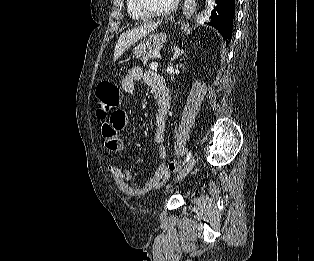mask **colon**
<instances>
[{
	"label": "colon",
	"mask_w": 314,
	"mask_h": 261,
	"mask_svg": "<svg viewBox=\"0 0 314 261\" xmlns=\"http://www.w3.org/2000/svg\"><path fill=\"white\" fill-rule=\"evenodd\" d=\"M97 99V114L105 120L109 117L110 113H113V109H118L122 101V93L117 85L110 81H102L96 88ZM179 164L176 161H171L168 164V170L170 172H178Z\"/></svg>",
	"instance_id": "colon-1"
}]
</instances>
